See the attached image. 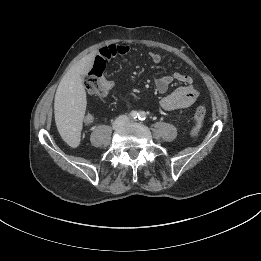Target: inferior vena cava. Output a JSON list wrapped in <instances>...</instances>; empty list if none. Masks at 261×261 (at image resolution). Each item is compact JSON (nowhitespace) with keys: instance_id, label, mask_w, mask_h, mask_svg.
<instances>
[{"instance_id":"inferior-vena-cava-1","label":"inferior vena cava","mask_w":261,"mask_h":261,"mask_svg":"<svg viewBox=\"0 0 261 261\" xmlns=\"http://www.w3.org/2000/svg\"><path fill=\"white\" fill-rule=\"evenodd\" d=\"M128 120V117L126 115H121L116 119V122L119 124H122Z\"/></svg>"}]
</instances>
